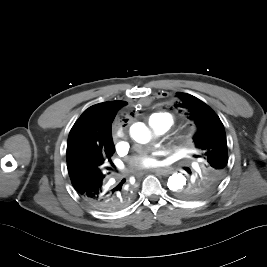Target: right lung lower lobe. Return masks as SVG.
<instances>
[{
    "mask_svg": "<svg viewBox=\"0 0 267 267\" xmlns=\"http://www.w3.org/2000/svg\"><path fill=\"white\" fill-rule=\"evenodd\" d=\"M77 193L93 208L114 212L126 207L132 200L133 193L128 188L107 184V178L86 180L73 185Z\"/></svg>",
    "mask_w": 267,
    "mask_h": 267,
    "instance_id": "98d812e1",
    "label": "right lung lower lobe"
}]
</instances>
